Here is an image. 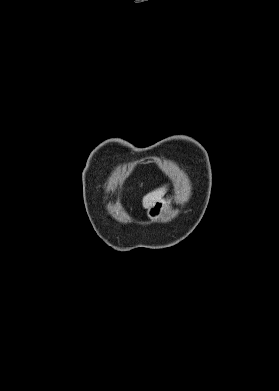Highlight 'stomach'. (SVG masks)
<instances>
[{
  "mask_svg": "<svg viewBox=\"0 0 279 391\" xmlns=\"http://www.w3.org/2000/svg\"><path fill=\"white\" fill-rule=\"evenodd\" d=\"M168 201L161 199L148 208L147 216L151 221L158 220L164 213Z\"/></svg>",
  "mask_w": 279,
  "mask_h": 391,
  "instance_id": "obj_1",
  "label": "stomach"
}]
</instances>
